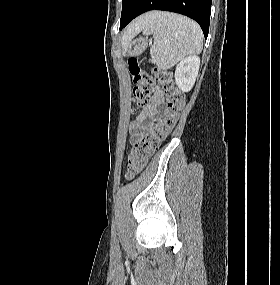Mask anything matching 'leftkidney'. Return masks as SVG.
Segmentation results:
<instances>
[{"label": "left kidney", "mask_w": 280, "mask_h": 285, "mask_svg": "<svg viewBox=\"0 0 280 285\" xmlns=\"http://www.w3.org/2000/svg\"><path fill=\"white\" fill-rule=\"evenodd\" d=\"M200 65V58L196 55L184 58L176 67L175 81L178 88L188 92L195 84Z\"/></svg>", "instance_id": "obj_1"}]
</instances>
